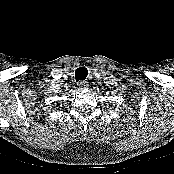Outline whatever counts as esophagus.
I'll list each match as a JSON object with an SVG mask.
<instances>
[{
    "label": "esophagus",
    "instance_id": "esophagus-1",
    "mask_svg": "<svg viewBox=\"0 0 174 174\" xmlns=\"http://www.w3.org/2000/svg\"><path fill=\"white\" fill-rule=\"evenodd\" d=\"M87 86H88V85H87V82H85V81H80V82L78 83L79 89H85Z\"/></svg>",
    "mask_w": 174,
    "mask_h": 174
}]
</instances>
